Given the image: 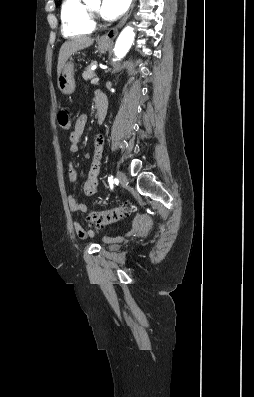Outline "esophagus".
Returning <instances> with one entry per match:
<instances>
[{
    "label": "esophagus",
    "instance_id": "1",
    "mask_svg": "<svg viewBox=\"0 0 254 397\" xmlns=\"http://www.w3.org/2000/svg\"><path fill=\"white\" fill-rule=\"evenodd\" d=\"M135 1L136 0H132L131 6H130L129 10L127 11V13L125 14V16L121 19V21L117 24V26L111 28L107 33H105L101 37V41H103V42H112L116 38V36L118 35L119 29L126 23L127 19L131 15L132 10H133L134 5H135Z\"/></svg>",
    "mask_w": 254,
    "mask_h": 397
}]
</instances>
